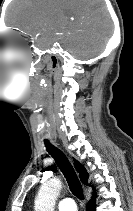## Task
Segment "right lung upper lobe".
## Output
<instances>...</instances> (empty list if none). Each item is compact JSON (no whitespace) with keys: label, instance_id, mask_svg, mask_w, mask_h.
I'll list each match as a JSON object with an SVG mask.
<instances>
[{"label":"right lung upper lobe","instance_id":"right-lung-upper-lobe-1","mask_svg":"<svg viewBox=\"0 0 133 211\" xmlns=\"http://www.w3.org/2000/svg\"><path fill=\"white\" fill-rule=\"evenodd\" d=\"M74 166H75L77 172L79 173V178L82 181V183L87 185L89 175H88L86 169L84 168V166L81 163H79L77 160H74ZM93 195L95 197L96 193L94 192Z\"/></svg>","mask_w":133,"mask_h":211}]
</instances>
